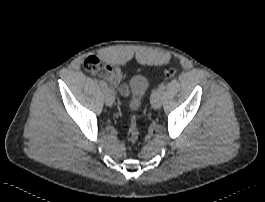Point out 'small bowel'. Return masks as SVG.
<instances>
[{
  "mask_svg": "<svg viewBox=\"0 0 265 202\" xmlns=\"http://www.w3.org/2000/svg\"><path fill=\"white\" fill-rule=\"evenodd\" d=\"M83 68L99 77L105 78L112 86L123 95H128L129 87L122 83L123 74L119 67L112 65L100 66V58L97 55H89L83 61Z\"/></svg>",
  "mask_w": 265,
  "mask_h": 202,
  "instance_id": "small-bowel-1",
  "label": "small bowel"
}]
</instances>
